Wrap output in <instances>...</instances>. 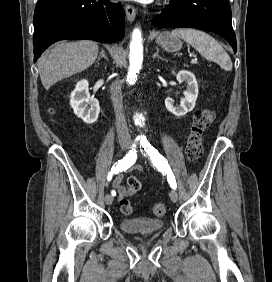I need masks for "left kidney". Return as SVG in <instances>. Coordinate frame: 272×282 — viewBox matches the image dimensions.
Wrapping results in <instances>:
<instances>
[{
  "label": "left kidney",
  "instance_id": "left-kidney-1",
  "mask_svg": "<svg viewBox=\"0 0 272 282\" xmlns=\"http://www.w3.org/2000/svg\"><path fill=\"white\" fill-rule=\"evenodd\" d=\"M176 79L179 83H187V89L184 91L185 98L181 101L180 106L176 107L172 98L167 97L165 99V106L170 113L182 117L195 107L198 97V84L194 74L187 70L179 71L176 74Z\"/></svg>",
  "mask_w": 272,
  "mask_h": 282
}]
</instances>
